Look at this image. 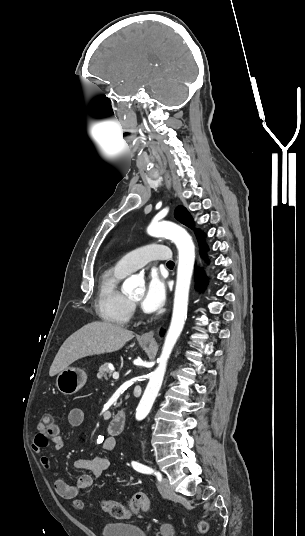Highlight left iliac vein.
Instances as JSON below:
<instances>
[{"label": "left iliac vein", "mask_w": 305, "mask_h": 536, "mask_svg": "<svg viewBox=\"0 0 305 536\" xmlns=\"http://www.w3.org/2000/svg\"><path fill=\"white\" fill-rule=\"evenodd\" d=\"M160 491L162 494L169 496L170 494H173V489L170 486L169 480L167 478H162L161 482L158 485Z\"/></svg>", "instance_id": "4c4485c4"}]
</instances>
